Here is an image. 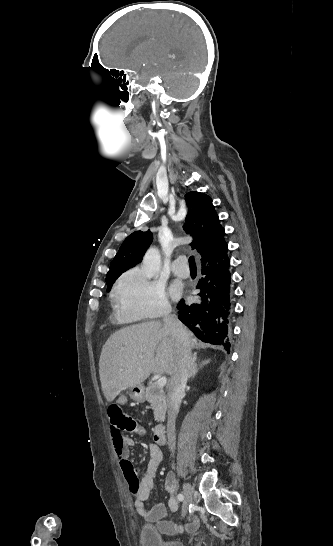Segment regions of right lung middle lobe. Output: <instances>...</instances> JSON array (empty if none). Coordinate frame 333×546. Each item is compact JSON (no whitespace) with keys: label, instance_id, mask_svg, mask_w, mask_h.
<instances>
[{"label":"right lung middle lobe","instance_id":"right-lung-middle-lobe-1","mask_svg":"<svg viewBox=\"0 0 333 546\" xmlns=\"http://www.w3.org/2000/svg\"><path fill=\"white\" fill-rule=\"evenodd\" d=\"M125 270L111 273L110 275L106 276V282L108 287V291L111 289L112 284L115 282V280L124 272Z\"/></svg>","mask_w":333,"mask_h":546}]
</instances>
